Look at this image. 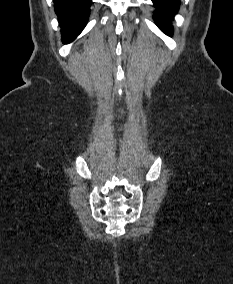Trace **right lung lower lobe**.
Instances as JSON below:
<instances>
[{
  "label": "right lung lower lobe",
  "mask_w": 233,
  "mask_h": 284,
  "mask_svg": "<svg viewBox=\"0 0 233 284\" xmlns=\"http://www.w3.org/2000/svg\"><path fill=\"white\" fill-rule=\"evenodd\" d=\"M61 26L62 40L69 43L86 26L92 0H53Z\"/></svg>",
  "instance_id": "obj_1"
}]
</instances>
